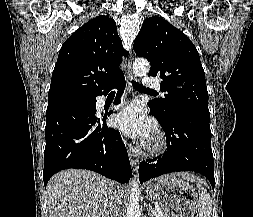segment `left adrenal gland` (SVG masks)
<instances>
[{"mask_svg":"<svg viewBox=\"0 0 253 217\" xmlns=\"http://www.w3.org/2000/svg\"><path fill=\"white\" fill-rule=\"evenodd\" d=\"M148 209H149V212L151 211V205L149 204L148 205ZM150 217H151V214H150Z\"/></svg>","mask_w":253,"mask_h":217,"instance_id":"1","label":"left adrenal gland"}]
</instances>
